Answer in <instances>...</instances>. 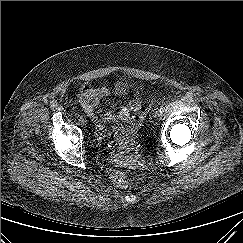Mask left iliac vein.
Segmentation results:
<instances>
[{
    "label": "left iliac vein",
    "instance_id": "obj_1",
    "mask_svg": "<svg viewBox=\"0 0 243 243\" xmlns=\"http://www.w3.org/2000/svg\"><path fill=\"white\" fill-rule=\"evenodd\" d=\"M160 116H161V113H160L159 111H156V112L154 113V117H155V118H160Z\"/></svg>",
    "mask_w": 243,
    "mask_h": 243
}]
</instances>
